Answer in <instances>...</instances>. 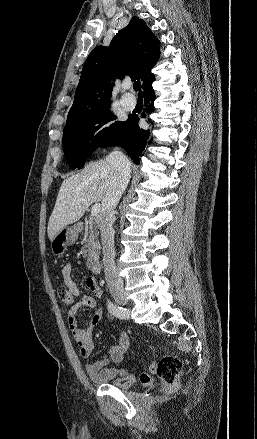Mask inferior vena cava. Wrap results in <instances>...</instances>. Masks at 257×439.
<instances>
[{"label": "inferior vena cava", "instance_id": "1", "mask_svg": "<svg viewBox=\"0 0 257 439\" xmlns=\"http://www.w3.org/2000/svg\"><path fill=\"white\" fill-rule=\"evenodd\" d=\"M113 169L110 187L103 199V214L101 217V240L103 246V264L105 279L109 288H123V280L115 266L114 210L124 193L130 178V161L121 151H113L106 157Z\"/></svg>", "mask_w": 257, "mask_h": 439}]
</instances>
